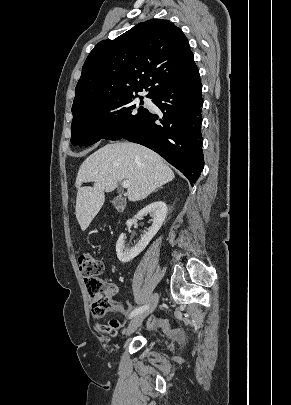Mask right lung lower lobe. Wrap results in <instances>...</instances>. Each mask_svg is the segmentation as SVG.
<instances>
[{
	"instance_id": "98d812e1",
	"label": "right lung lower lobe",
	"mask_w": 291,
	"mask_h": 405,
	"mask_svg": "<svg viewBox=\"0 0 291 405\" xmlns=\"http://www.w3.org/2000/svg\"><path fill=\"white\" fill-rule=\"evenodd\" d=\"M201 91L199 73L191 79L161 87L151 98L163 117L149 112L141 124L122 137L160 154L180 170L192 186L204 167Z\"/></svg>"
}]
</instances>
